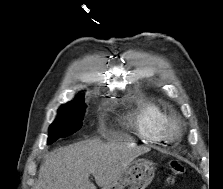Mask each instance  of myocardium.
Returning a JSON list of instances; mask_svg holds the SVG:
<instances>
[{"instance_id":"obj_1","label":"myocardium","mask_w":223,"mask_h":189,"mask_svg":"<svg viewBox=\"0 0 223 189\" xmlns=\"http://www.w3.org/2000/svg\"><path fill=\"white\" fill-rule=\"evenodd\" d=\"M163 129L167 139L171 141L179 139L183 133L182 122L176 116H168Z\"/></svg>"}]
</instances>
